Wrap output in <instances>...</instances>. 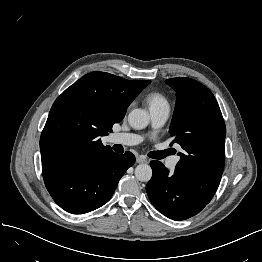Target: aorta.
I'll return each instance as SVG.
<instances>
[{
    "label": "aorta",
    "instance_id": "762f6f07",
    "mask_svg": "<svg viewBox=\"0 0 262 262\" xmlns=\"http://www.w3.org/2000/svg\"><path fill=\"white\" fill-rule=\"evenodd\" d=\"M128 122L132 128L143 129L149 122L148 113L143 109H133L128 115ZM135 177L141 182H148L152 177V169L148 164H139L135 168Z\"/></svg>",
    "mask_w": 262,
    "mask_h": 262
}]
</instances>
